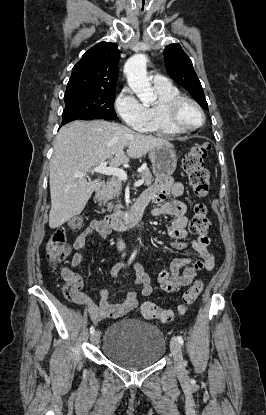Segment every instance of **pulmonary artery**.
<instances>
[{"instance_id": "obj_1", "label": "pulmonary artery", "mask_w": 266, "mask_h": 415, "mask_svg": "<svg viewBox=\"0 0 266 415\" xmlns=\"http://www.w3.org/2000/svg\"><path fill=\"white\" fill-rule=\"evenodd\" d=\"M168 80L160 74H155L153 76V83L154 84H164L167 83Z\"/></svg>"}]
</instances>
